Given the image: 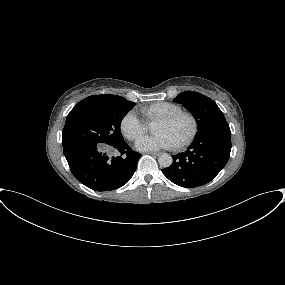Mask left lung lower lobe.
<instances>
[{
	"label": "left lung lower lobe",
	"instance_id": "0a47b994",
	"mask_svg": "<svg viewBox=\"0 0 285 285\" xmlns=\"http://www.w3.org/2000/svg\"><path fill=\"white\" fill-rule=\"evenodd\" d=\"M230 151V130H207L196 135L185 153L173 156L171 166L162 172L176 185L185 188L202 186L226 165Z\"/></svg>",
	"mask_w": 285,
	"mask_h": 285
}]
</instances>
